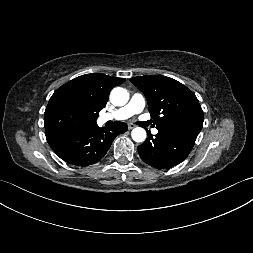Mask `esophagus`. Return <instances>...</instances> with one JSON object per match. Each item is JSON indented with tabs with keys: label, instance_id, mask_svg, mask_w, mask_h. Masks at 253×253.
I'll use <instances>...</instances> for the list:
<instances>
[{
	"label": "esophagus",
	"instance_id": "1",
	"mask_svg": "<svg viewBox=\"0 0 253 253\" xmlns=\"http://www.w3.org/2000/svg\"><path fill=\"white\" fill-rule=\"evenodd\" d=\"M136 127V125L135 124H133V123H129L128 124V128L131 130V129H133V128H135Z\"/></svg>",
	"mask_w": 253,
	"mask_h": 253
}]
</instances>
